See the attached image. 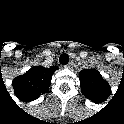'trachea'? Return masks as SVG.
Listing matches in <instances>:
<instances>
[{"label": "trachea", "mask_w": 124, "mask_h": 124, "mask_svg": "<svg viewBox=\"0 0 124 124\" xmlns=\"http://www.w3.org/2000/svg\"><path fill=\"white\" fill-rule=\"evenodd\" d=\"M59 62H60V64H62V65L68 64V62H69V56H68V54H67V53L61 54V56H60V58H59Z\"/></svg>", "instance_id": "3493384b"}]
</instances>
